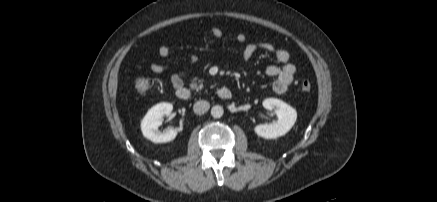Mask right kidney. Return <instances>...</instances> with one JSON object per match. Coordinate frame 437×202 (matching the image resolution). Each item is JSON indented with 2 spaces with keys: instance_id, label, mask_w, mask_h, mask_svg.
<instances>
[{
  "instance_id": "right-kidney-1",
  "label": "right kidney",
  "mask_w": 437,
  "mask_h": 202,
  "mask_svg": "<svg viewBox=\"0 0 437 202\" xmlns=\"http://www.w3.org/2000/svg\"><path fill=\"white\" fill-rule=\"evenodd\" d=\"M172 110L173 105L170 103H159L149 109L141 121L143 136L154 143H166L175 139L176 129L168 128L163 132L158 130V127L162 124L163 116L169 115Z\"/></svg>"
}]
</instances>
